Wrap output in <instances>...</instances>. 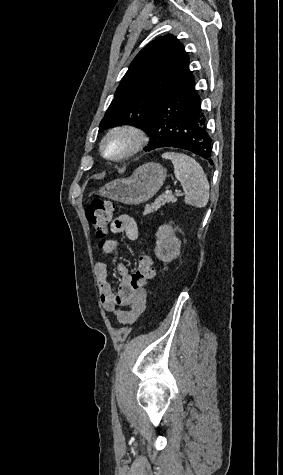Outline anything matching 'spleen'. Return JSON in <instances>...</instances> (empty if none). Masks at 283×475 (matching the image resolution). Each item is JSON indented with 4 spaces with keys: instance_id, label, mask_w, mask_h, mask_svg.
I'll return each mask as SVG.
<instances>
[{
    "instance_id": "obj_1",
    "label": "spleen",
    "mask_w": 283,
    "mask_h": 475,
    "mask_svg": "<svg viewBox=\"0 0 283 475\" xmlns=\"http://www.w3.org/2000/svg\"><path fill=\"white\" fill-rule=\"evenodd\" d=\"M162 158L171 160L175 178L179 180L185 192V204L204 208L208 204L210 186L198 162L185 154H176V152H166L162 154Z\"/></svg>"
}]
</instances>
